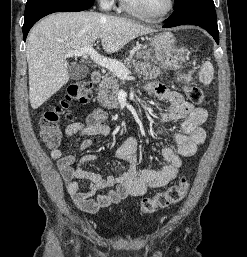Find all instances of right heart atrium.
<instances>
[{"label":"right heart atrium","instance_id":"d8ad5b80","mask_svg":"<svg viewBox=\"0 0 247 257\" xmlns=\"http://www.w3.org/2000/svg\"><path fill=\"white\" fill-rule=\"evenodd\" d=\"M98 1L101 4V6L105 9H111L115 4V0H98Z\"/></svg>","mask_w":247,"mask_h":257}]
</instances>
